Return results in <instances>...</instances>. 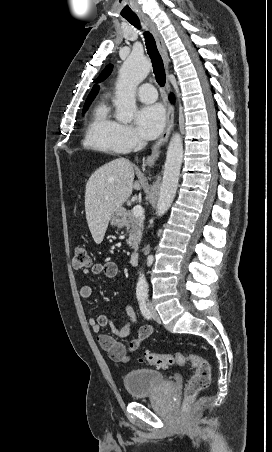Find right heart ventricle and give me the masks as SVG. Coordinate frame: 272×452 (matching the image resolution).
I'll return each mask as SVG.
<instances>
[{
  "instance_id": "1",
  "label": "right heart ventricle",
  "mask_w": 272,
  "mask_h": 452,
  "mask_svg": "<svg viewBox=\"0 0 272 452\" xmlns=\"http://www.w3.org/2000/svg\"><path fill=\"white\" fill-rule=\"evenodd\" d=\"M121 124L114 120L106 102H100L92 111L86 125L83 144L85 147L106 153H122L118 132Z\"/></svg>"
}]
</instances>
